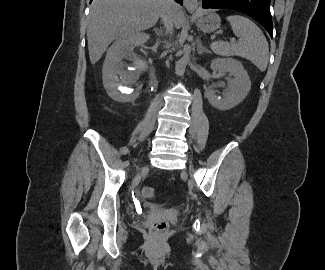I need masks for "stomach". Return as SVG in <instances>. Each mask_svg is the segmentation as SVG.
<instances>
[{
    "mask_svg": "<svg viewBox=\"0 0 325 270\" xmlns=\"http://www.w3.org/2000/svg\"><path fill=\"white\" fill-rule=\"evenodd\" d=\"M197 27L206 33L220 28L221 19L214 12L196 13Z\"/></svg>",
    "mask_w": 325,
    "mask_h": 270,
    "instance_id": "1",
    "label": "stomach"
}]
</instances>
